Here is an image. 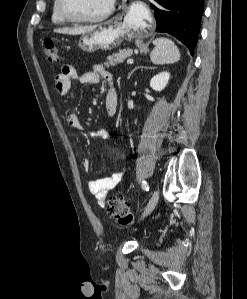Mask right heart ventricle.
<instances>
[{"mask_svg":"<svg viewBox=\"0 0 247 299\" xmlns=\"http://www.w3.org/2000/svg\"><path fill=\"white\" fill-rule=\"evenodd\" d=\"M51 20L56 25H64L67 21L61 16L58 10V0H54L52 4Z\"/></svg>","mask_w":247,"mask_h":299,"instance_id":"1","label":"right heart ventricle"}]
</instances>
